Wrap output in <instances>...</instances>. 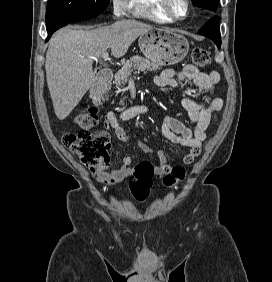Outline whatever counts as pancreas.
<instances>
[{
    "label": "pancreas",
    "instance_id": "cf45deb5",
    "mask_svg": "<svg viewBox=\"0 0 272 282\" xmlns=\"http://www.w3.org/2000/svg\"><path fill=\"white\" fill-rule=\"evenodd\" d=\"M160 66L155 62H151L148 59L140 57L138 55L131 57L129 60L123 63L122 68L115 74V85L117 87L127 83L131 73L157 71L160 70ZM123 104V102H121Z\"/></svg>",
    "mask_w": 272,
    "mask_h": 282
}]
</instances>
